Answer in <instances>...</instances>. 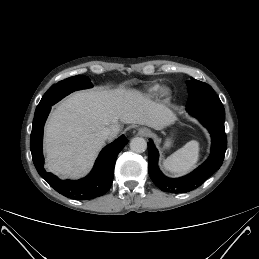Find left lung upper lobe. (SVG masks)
Instances as JSON below:
<instances>
[{
    "label": "left lung upper lobe",
    "instance_id": "1",
    "mask_svg": "<svg viewBox=\"0 0 259 259\" xmlns=\"http://www.w3.org/2000/svg\"><path fill=\"white\" fill-rule=\"evenodd\" d=\"M189 98L186 108L221 103L212 87L204 82L192 78L187 81Z\"/></svg>",
    "mask_w": 259,
    "mask_h": 259
}]
</instances>
